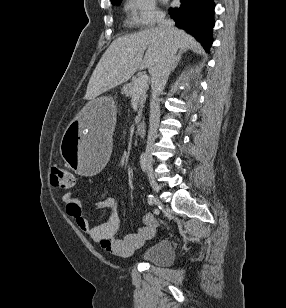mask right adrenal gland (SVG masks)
I'll return each mask as SVG.
<instances>
[{
    "label": "right adrenal gland",
    "instance_id": "1",
    "mask_svg": "<svg viewBox=\"0 0 286 308\" xmlns=\"http://www.w3.org/2000/svg\"><path fill=\"white\" fill-rule=\"evenodd\" d=\"M182 54H183V51H179V53L177 54V56H176V58H175V61H174L173 65H172V67H171V71H172V72H173L174 69L177 67V65H178V63H179V61H180V59H181Z\"/></svg>",
    "mask_w": 286,
    "mask_h": 308
}]
</instances>
